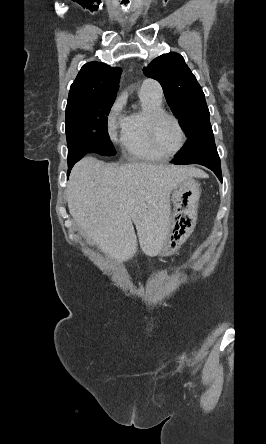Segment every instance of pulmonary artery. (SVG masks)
<instances>
[{
    "mask_svg": "<svg viewBox=\"0 0 266 444\" xmlns=\"http://www.w3.org/2000/svg\"><path fill=\"white\" fill-rule=\"evenodd\" d=\"M140 93L162 100L163 90L161 85L153 79H145L140 87Z\"/></svg>",
    "mask_w": 266,
    "mask_h": 444,
    "instance_id": "1",
    "label": "pulmonary artery"
}]
</instances>
